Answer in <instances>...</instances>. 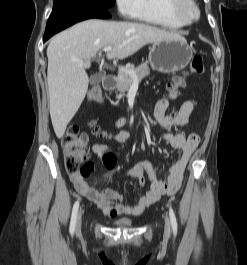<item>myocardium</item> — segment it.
I'll return each mask as SVG.
<instances>
[{
	"label": "myocardium",
	"instance_id": "myocardium-1",
	"mask_svg": "<svg viewBox=\"0 0 247 265\" xmlns=\"http://www.w3.org/2000/svg\"><path fill=\"white\" fill-rule=\"evenodd\" d=\"M171 9L174 15L185 24L194 23L201 17V10L196 0H172ZM190 10L193 11L192 14Z\"/></svg>",
	"mask_w": 247,
	"mask_h": 265
}]
</instances>
